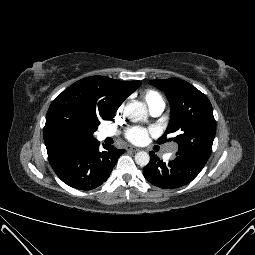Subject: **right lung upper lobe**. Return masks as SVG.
<instances>
[{
    "label": "right lung upper lobe",
    "instance_id": "cb5924a9",
    "mask_svg": "<svg viewBox=\"0 0 255 255\" xmlns=\"http://www.w3.org/2000/svg\"><path fill=\"white\" fill-rule=\"evenodd\" d=\"M141 84L103 76L81 79L65 89L50 105L44 127L48 155L95 140L96 120H111L122 102Z\"/></svg>",
    "mask_w": 255,
    "mask_h": 255
}]
</instances>
